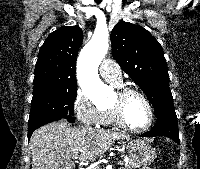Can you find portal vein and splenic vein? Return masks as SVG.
I'll return each mask as SVG.
<instances>
[{
	"label": "portal vein and splenic vein",
	"instance_id": "18ae733b",
	"mask_svg": "<svg viewBox=\"0 0 200 169\" xmlns=\"http://www.w3.org/2000/svg\"><path fill=\"white\" fill-rule=\"evenodd\" d=\"M118 164H119V165H122L123 163H122V162H119ZM119 169H120V168H119Z\"/></svg>",
	"mask_w": 200,
	"mask_h": 169
}]
</instances>
